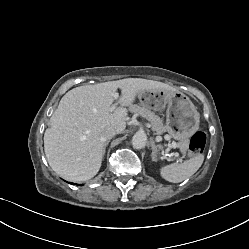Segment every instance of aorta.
Returning <instances> with one entry per match:
<instances>
[{
	"mask_svg": "<svg viewBox=\"0 0 249 249\" xmlns=\"http://www.w3.org/2000/svg\"><path fill=\"white\" fill-rule=\"evenodd\" d=\"M147 136L143 132H137L132 138V145L136 149H142L146 146Z\"/></svg>",
	"mask_w": 249,
	"mask_h": 249,
	"instance_id": "762f6f07",
	"label": "aorta"
}]
</instances>
